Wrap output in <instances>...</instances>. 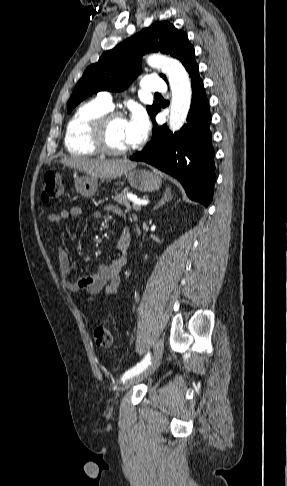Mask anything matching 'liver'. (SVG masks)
<instances>
[{"instance_id": "obj_1", "label": "liver", "mask_w": 287, "mask_h": 486, "mask_svg": "<svg viewBox=\"0 0 287 486\" xmlns=\"http://www.w3.org/2000/svg\"><path fill=\"white\" fill-rule=\"evenodd\" d=\"M62 164L101 179H115L136 168L137 163L128 159L94 160L85 157H64Z\"/></svg>"}]
</instances>
